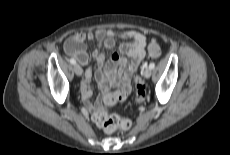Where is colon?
I'll return each mask as SVG.
<instances>
[{"mask_svg":"<svg viewBox=\"0 0 230 155\" xmlns=\"http://www.w3.org/2000/svg\"><path fill=\"white\" fill-rule=\"evenodd\" d=\"M148 53L151 58H157L160 54V46L156 41H151L148 45ZM135 96L137 102H142L145 96V87L142 83L136 82ZM115 99V97H113ZM94 122L105 132L112 133L116 129H129L131 122L128 119L120 118L117 115L109 114L104 108H97L93 114Z\"/></svg>","mask_w":230,"mask_h":155,"instance_id":"obj_1","label":"colon"}]
</instances>
